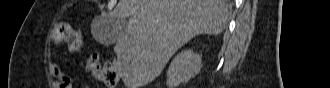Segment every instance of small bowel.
I'll return each mask as SVG.
<instances>
[{
	"instance_id": "1",
	"label": "small bowel",
	"mask_w": 330,
	"mask_h": 88,
	"mask_svg": "<svg viewBox=\"0 0 330 88\" xmlns=\"http://www.w3.org/2000/svg\"><path fill=\"white\" fill-rule=\"evenodd\" d=\"M48 73L56 78L53 83L55 88H73V80L67 76L59 67L51 65L48 68Z\"/></svg>"
}]
</instances>
